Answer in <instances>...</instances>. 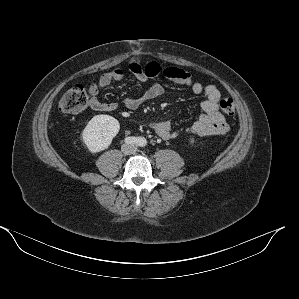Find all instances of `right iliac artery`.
Wrapping results in <instances>:
<instances>
[{"instance_id":"right-iliac-artery-1","label":"right iliac artery","mask_w":299,"mask_h":299,"mask_svg":"<svg viewBox=\"0 0 299 299\" xmlns=\"http://www.w3.org/2000/svg\"><path fill=\"white\" fill-rule=\"evenodd\" d=\"M138 140H139V138L130 136V137H126L124 141L127 144H137Z\"/></svg>"}]
</instances>
